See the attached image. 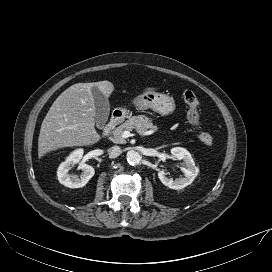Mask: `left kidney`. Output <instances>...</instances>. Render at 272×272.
<instances>
[{
    "label": "left kidney",
    "mask_w": 272,
    "mask_h": 272,
    "mask_svg": "<svg viewBox=\"0 0 272 272\" xmlns=\"http://www.w3.org/2000/svg\"><path fill=\"white\" fill-rule=\"evenodd\" d=\"M171 154L177 160L184 161L183 166L181 167V171L184 173V177L173 180L166 176V173L164 170H160L158 172V177L160 181L165 186H168L170 189H175V190L183 189L194 181V179L199 173V169L198 167H196L191 154L185 148H181V147L172 148Z\"/></svg>",
    "instance_id": "1"
}]
</instances>
